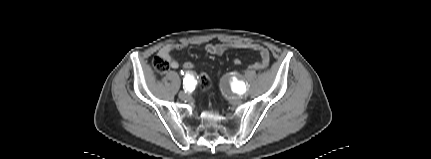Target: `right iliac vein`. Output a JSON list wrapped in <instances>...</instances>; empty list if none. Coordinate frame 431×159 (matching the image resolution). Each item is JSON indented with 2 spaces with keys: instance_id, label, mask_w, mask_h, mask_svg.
<instances>
[{
  "instance_id": "1",
  "label": "right iliac vein",
  "mask_w": 431,
  "mask_h": 159,
  "mask_svg": "<svg viewBox=\"0 0 431 159\" xmlns=\"http://www.w3.org/2000/svg\"><path fill=\"white\" fill-rule=\"evenodd\" d=\"M189 97V93L187 92V91H181L180 93H179V98L180 99H182V100H185V99H187Z\"/></svg>"
}]
</instances>
